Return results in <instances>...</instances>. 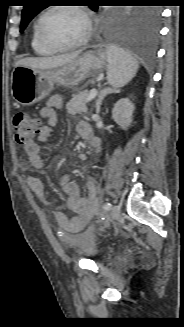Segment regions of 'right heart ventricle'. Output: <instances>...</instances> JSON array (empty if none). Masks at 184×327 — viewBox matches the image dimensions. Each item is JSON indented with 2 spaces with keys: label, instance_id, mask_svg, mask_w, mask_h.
<instances>
[{
  "label": "right heart ventricle",
  "instance_id": "1",
  "mask_svg": "<svg viewBox=\"0 0 184 327\" xmlns=\"http://www.w3.org/2000/svg\"><path fill=\"white\" fill-rule=\"evenodd\" d=\"M31 47L37 55H41V56H49L56 52L52 49H49L48 47H46L44 44L41 43L36 32V23L32 30Z\"/></svg>",
  "mask_w": 184,
  "mask_h": 327
}]
</instances>
